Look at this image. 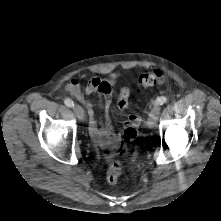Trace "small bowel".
<instances>
[{
  "instance_id": "small-bowel-1",
  "label": "small bowel",
  "mask_w": 221,
  "mask_h": 221,
  "mask_svg": "<svg viewBox=\"0 0 221 221\" xmlns=\"http://www.w3.org/2000/svg\"><path fill=\"white\" fill-rule=\"evenodd\" d=\"M114 85V79L102 80L99 78H92L82 90L79 81L77 79L71 80L66 85V90L71 95H73L77 100L81 101L87 110V115L89 119V133L93 142L101 147L108 148L111 150H116L121 142V134L116 133L109 121V111L111 104V96ZM95 92H99L101 96V104L103 107L104 120L103 126H100L96 119L95 110L91 102L85 99L84 95H91ZM127 105L119 104V108L125 109ZM139 123V118L137 115L131 114L128 116L124 128L130 126H137Z\"/></svg>"
}]
</instances>
